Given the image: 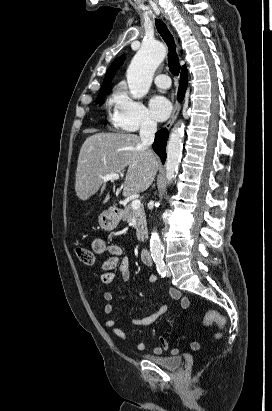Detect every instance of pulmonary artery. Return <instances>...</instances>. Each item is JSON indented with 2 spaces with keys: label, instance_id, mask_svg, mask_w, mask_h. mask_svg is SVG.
I'll list each match as a JSON object with an SVG mask.
<instances>
[{
  "label": "pulmonary artery",
  "instance_id": "pulmonary-artery-1",
  "mask_svg": "<svg viewBox=\"0 0 272 411\" xmlns=\"http://www.w3.org/2000/svg\"><path fill=\"white\" fill-rule=\"evenodd\" d=\"M154 82L157 87L167 89L170 87V79L167 74H159L155 77Z\"/></svg>",
  "mask_w": 272,
  "mask_h": 411
}]
</instances>
